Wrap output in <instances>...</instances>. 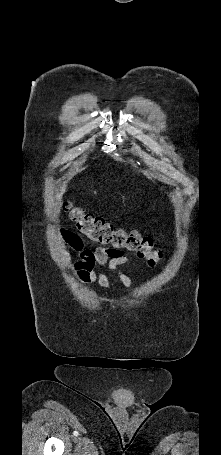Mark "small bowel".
<instances>
[{
    "label": "small bowel",
    "mask_w": 221,
    "mask_h": 455,
    "mask_svg": "<svg viewBox=\"0 0 221 455\" xmlns=\"http://www.w3.org/2000/svg\"><path fill=\"white\" fill-rule=\"evenodd\" d=\"M59 234L79 256V260L74 261L69 251L62 253L72 267L75 277L83 284L88 286L97 284L101 289L107 290L109 279L106 271L109 270L126 288L132 286L131 277L120 269L121 266H130V261L123 251L102 247L89 249L75 233L67 229H60Z\"/></svg>",
    "instance_id": "obj_1"
}]
</instances>
